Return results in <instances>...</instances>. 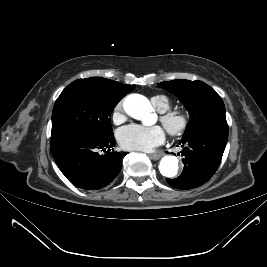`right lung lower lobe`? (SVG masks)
Wrapping results in <instances>:
<instances>
[{
    "instance_id": "98d812e1",
    "label": "right lung lower lobe",
    "mask_w": 267,
    "mask_h": 267,
    "mask_svg": "<svg viewBox=\"0 0 267 267\" xmlns=\"http://www.w3.org/2000/svg\"><path fill=\"white\" fill-rule=\"evenodd\" d=\"M114 136L107 138L67 134L51 139V153L65 177L75 186L97 190L109 185L122 168L127 152H112ZM107 152L103 155L100 151Z\"/></svg>"
}]
</instances>
